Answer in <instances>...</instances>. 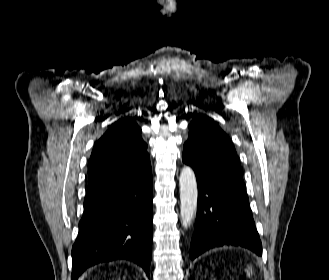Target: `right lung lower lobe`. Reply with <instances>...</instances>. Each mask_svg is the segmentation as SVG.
I'll return each instance as SVG.
<instances>
[{"instance_id":"1","label":"right lung lower lobe","mask_w":329,"mask_h":280,"mask_svg":"<svg viewBox=\"0 0 329 280\" xmlns=\"http://www.w3.org/2000/svg\"><path fill=\"white\" fill-rule=\"evenodd\" d=\"M152 257V171L110 174L89 182L71 280L88 267L117 259L140 265Z\"/></svg>"}]
</instances>
